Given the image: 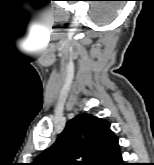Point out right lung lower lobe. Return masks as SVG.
Instances as JSON below:
<instances>
[{
	"label": "right lung lower lobe",
	"mask_w": 154,
	"mask_h": 165,
	"mask_svg": "<svg viewBox=\"0 0 154 165\" xmlns=\"http://www.w3.org/2000/svg\"><path fill=\"white\" fill-rule=\"evenodd\" d=\"M119 152L118 139L114 135L105 145L94 165H125Z\"/></svg>",
	"instance_id": "98d812e1"
}]
</instances>
